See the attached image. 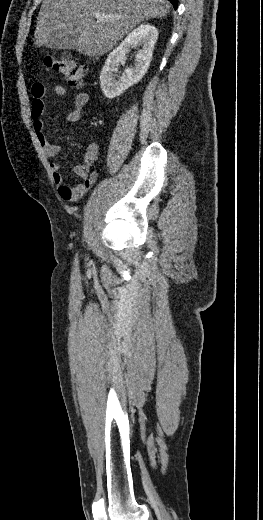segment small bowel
<instances>
[{"mask_svg":"<svg viewBox=\"0 0 263 520\" xmlns=\"http://www.w3.org/2000/svg\"><path fill=\"white\" fill-rule=\"evenodd\" d=\"M52 91L57 96L67 95V89L62 85H55ZM31 118L36 137L48 158H54L61 152L58 145L52 144L46 137L43 127V114L45 111L46 87L42 83H35L31 88ZM89 102V95L85 92H78L73 96V109L67 114L69 122H77L81 116V110ZM99 145L95 140H91L86 148L83 162L74 167V172L81 182L75 186L67 185L62 175V166L57 161L50 162L53 179L58 187L60 197L65 201H76L82 198L93 186L97 179V173L91 172V168L99 156Z\"/></svg>","mask_w":263,"mask_h":520,"instance_id":"1","label":"small bowel"}]
</instances>
